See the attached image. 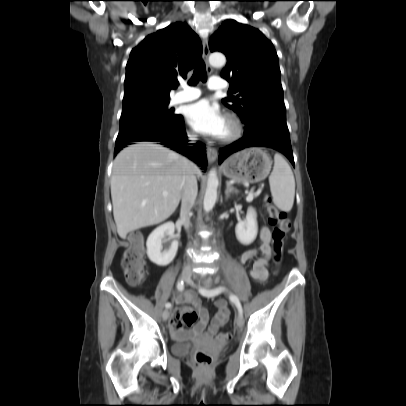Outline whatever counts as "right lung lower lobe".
I'll use <instances>...</instances> for the list:
<instances>
[{
    "instance_id": "1",
    "label": "right lung lower lobe",
    "mask_w": 406,
    "mask_h": 406,
    "mask_svg": "<svg viewBox=\"0 0 406 406\" xmlns=\"http://www.w3.org/2000/svg\"><path fill=\"white\" fill-rule=\"evenodd\" d=\"M151 141L159 142L165 147L186 156L190 160L198 163L203 169L207 166L206 148L204 144L198 142L194 146H186L187 136L184 127L183 117L180 115L176 122L167 128L160 129L150 133L135 134L123 138H117L114 153L117 154L122 148L132 142ZM185 147H191L185 149Z\"/></svg>"
}]
</instances>
